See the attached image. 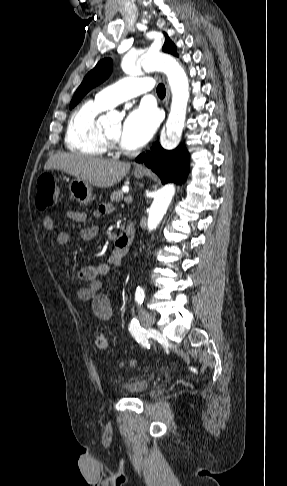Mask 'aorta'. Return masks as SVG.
Returning a JSON list of instances; mask_svg holds the SVG:
<instances>
[{"label":"aorta","instance_id":"1","mask_svg":"<svg viewBox=\"0 0 287 486\" xmlns=\"http://www.w3.org/2000/svg\"><path fill=\"white\" fill-rule=\"evenodd\" d=\"M122 70L128 75L141 71L159 70L166 74L172 93V102L168 120L166 122L165 140L163 146H175L182 135L189 100L188 78L179 63L170 55L148 52L141 56L140 64L136 59L124 57L121 63ZM111 114L101 117L103 125L109 124ZM175 193L173 184H167L156 194L148 213V232L155 230L162 221Z\"/></svg>","mask_w":287,"mask_h":486}]
</instances>
